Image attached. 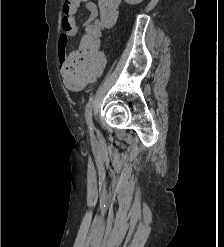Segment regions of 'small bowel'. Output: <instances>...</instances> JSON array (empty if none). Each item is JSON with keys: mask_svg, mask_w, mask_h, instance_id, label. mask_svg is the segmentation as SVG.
<instances>
[{"mask_svg": "<svg viewBox=\"0 0 224 247\" xmlns=\"http://www.w3.org/2000/svg\"><path fill=\"white\" fill-rule=\"evenodd\" d=\"M78 1H79V7L83 4L86 7V9L89 11L88 19L83 24L84 27L88 28L90 24L98 16V7L91 0H78ZM77 10L78 9H76L73 16L69 18L62 17L63 33L59 37L58 50H57L60 63L64 62L68 58L66 48L69 38L75 36L78 32V26L75 23V15Z\"/></svg>", "mask_w": 224, "mask_h": 247, "instance_id": "small-bowel-1", "label": "small bowel"}]
</instances>
